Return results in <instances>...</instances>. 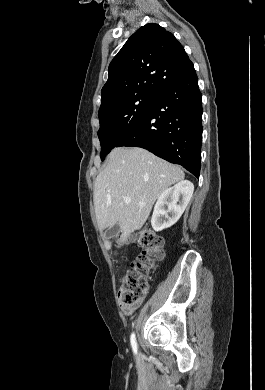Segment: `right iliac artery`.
<instances>
[{
	"label": "right iliac artery",
	"instance_id": "1",
	"mask_svg": "<svg viewBox=\"0 0 265 390\" xmlns=\"http://www.w3.org/2000/svg\"><path fill=\"white\" fill-rule=\"evenodd\" d=\"M130 341L134 353L137 354V341H136L135 333L131 334Z\"/></svg>",
	"mask_w": 265,
	"mask_h": 390
}]
</instances>
